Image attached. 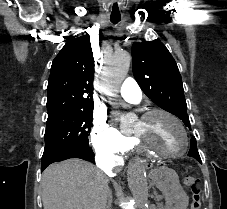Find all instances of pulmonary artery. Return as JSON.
I'll list each match as a JSON object with an SVG mask.
<instances>
[{
	"mask_svg": "<svg viewBox=\"0 0 227 209\" xmlns=\"http://www.w3.org/2000/svg\"><path fill=\"white\" fill-rule=\"evenodd\" d=\"M120 93L123 98L130 101H138L140 99V87L137 80L133 77H128L122 83Z\"/></svg>",
	"mask_w": 227,
	"mask_h": 209,
	"instance_id": "1",
	"label": "pulmonary artery"
}]
</instances>
